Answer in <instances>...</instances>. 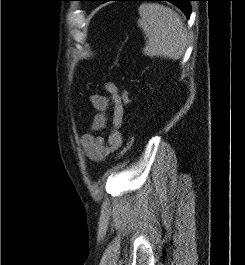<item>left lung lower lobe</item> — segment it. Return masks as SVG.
Returning a JSON list of instances; mask_svg holds the SVG:
<instances>
[{
    "label": "left lung lower lobe",
    "mask_w": 245,
    "mask_h": 265,
    "mask_svg": "<svg viewBox=\"0 0 245 265\" xmlns=\"http://www.w3.org/2000/svg\"><path fill=\"white\" fill-rule=\"evenodd\" d=\"M107 1H111V0H104L103 2H107ZM114 1H169L173 4H175L176 6H178L185 14L186 16L189 18L190 17V13H191V8H190V1H195V0H114Z\"/></svg>",
    "instance_id": "left-lung-lower-lobe-1"
}]
</instances>
